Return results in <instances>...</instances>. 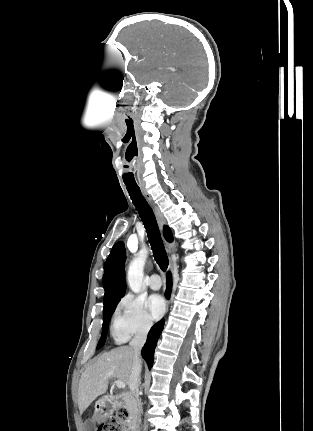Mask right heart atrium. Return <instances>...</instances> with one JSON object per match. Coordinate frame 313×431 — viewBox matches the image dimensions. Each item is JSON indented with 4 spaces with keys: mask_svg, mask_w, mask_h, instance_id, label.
<instances>
[{
    "mask_svg": "<svg viewBox=\"0 0 313 431\" xmlns=\"http://www.w3.org/2000/svg\"><path fill=\"white\" fill-rule=\"evenodd\" d=\"M152 326L153 320L140 298L127 294L120 300L113 320L116 338L125 340L133 335H146Z\"/></svg>",
    "mask_w": 313,
    "mask_h": 431,
    "instance_id": "1",
    "label": "right heart atrium"
}]
</instances>
